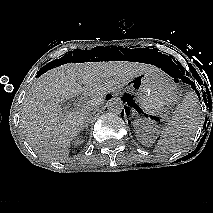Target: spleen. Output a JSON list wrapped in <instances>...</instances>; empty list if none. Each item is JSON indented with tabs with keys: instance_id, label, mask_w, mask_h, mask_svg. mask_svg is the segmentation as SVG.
<instances>
[{
	"instance_id": "spleen-1",
	"label": "spleen",
	"mask_w": 213,
	"mask_h": 213,
	"mask_svg": "<svg viewBox=\"0 0 213 213\" xmlns=\"http://www.w3.org/2000/svg\"><path fill=\"white\" fill-rule=\"evenodd\" d=\"M201 122L199 99L194 91H190L176 107L172 119L162 129L156 151L179 150L194 138Z\"/></svg>"
}]
</instances>
